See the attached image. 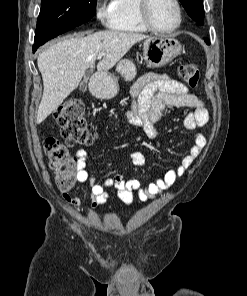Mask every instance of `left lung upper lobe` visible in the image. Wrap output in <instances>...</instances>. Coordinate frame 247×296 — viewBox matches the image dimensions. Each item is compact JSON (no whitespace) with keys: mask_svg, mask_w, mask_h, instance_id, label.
<instances>
[{"mask_svg":"<svg viewBox=\"0 0 247 296\" xmlns=\"http://www.w3.org/2000/svg\"><path fill=\"white\" fill-rule=\"evenodd\" d=\"M187 11L188 15L198 24H203L204 7L203 0H179Z\"/></svg>","mask_w":247,"mask_h":296,"instance_id":"left-lung-upper-lobe-1","label":"left lung upper lobe"}]
</instances>
